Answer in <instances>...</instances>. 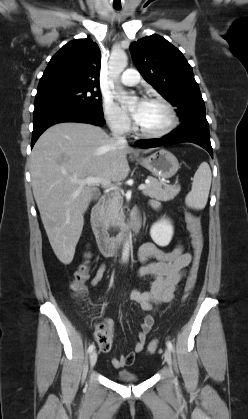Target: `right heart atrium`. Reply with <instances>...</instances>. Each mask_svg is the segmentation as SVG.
<instances>
[{"instance_id":"obj_1","label":"right heart atrium","mask_w":248,"mask_h":419,"mask_svg":"<svg viewBox=\"0 0 248 419\" xmlns=\"http://www.w3.org/2000/svg\"><path fill=\"white\" fill-rule=\"evenodd\" d=\"M103 116L107 125L119 134H125L131 128L130 118L111 97L103 100Z\"/></svg>"}]
</instances>
